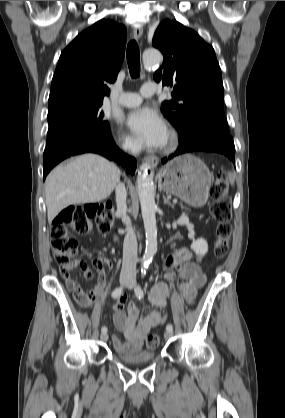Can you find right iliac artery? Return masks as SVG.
Returning a JSON list of instances; mask_svg holds the SVG:
<instances>
[{
  "label": "right iliac artery",
  "mask_w": 285,
  "mask_h": 418,
  "mask_svg": "<svg viewBox=\"0 0 285 418\" xmlns=\"http://www.w3.org/2000/svg\"><path fill=\"white\" fill-rule=\"evenodd\" d=\"M122 292H123V286H120L118 288H115L113 290V292H112V297L113 298H118L121 295ZM101 332H107V327L106 326H103L101 328Z\"/></svg>",
  "instance_id": "obj_1"
}]
</instances>
